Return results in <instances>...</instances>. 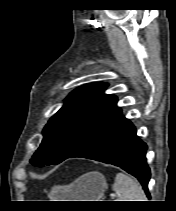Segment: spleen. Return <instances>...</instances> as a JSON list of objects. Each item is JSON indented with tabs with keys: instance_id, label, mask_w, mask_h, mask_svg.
Here are the masks:
<instances>
[{
	"instance_id": "obj_1",
	"label": "spleen",
	"mask_w": 176,
	"mask_h": 211,
	"mask_svg": "<svg viewBox=\"0 0 176 211\" xmlns=\"http://www.w3.org/2000/svg\"><path fill=\"white\" fill-rule=\"evenodd\" d=\"M113 190L120 196L117 201H147L137 180L121 172L115 177Z\"/></svg>"
}]
</instances>
